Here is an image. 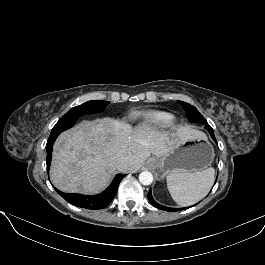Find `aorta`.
Masks as SVG:
<instances>
[{
    "label": "aorta",
    "mask_w": 265,
    "mask_h": 265,
    "mask_svg": "<svg viewBox=\"0 0 265 265\" xmlns=\"http://www.w3.org/2000/svg\"><path fill=\"white\" fill-rule=\"evenodd\" d=\"M139 181L142 185H150L153 182V175L149 171H143L139 174Z\"/></svg>",
    "instance_id": "aorta-1"
}]
</instances>
